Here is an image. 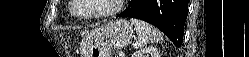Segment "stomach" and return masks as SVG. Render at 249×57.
Listing matches in <instances>:
<instances>
[{"mask_svg":"<svg viewBox=\"0 0 249 57\" xmlns=\"http://www.w3.org/2000/svg\"><path fill=\"white\" fill-rule=\"evenodd\" d=\"M134 38L133 25L116 19L88 33L82 42L81 57H112V51L127 46Z\"/></svg>","mask_w":249,"mask_h":57,"instance_id":"stomach-1","label":"stomach"}]
</instances>
